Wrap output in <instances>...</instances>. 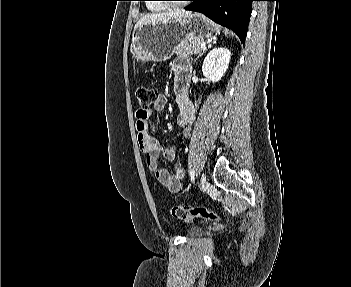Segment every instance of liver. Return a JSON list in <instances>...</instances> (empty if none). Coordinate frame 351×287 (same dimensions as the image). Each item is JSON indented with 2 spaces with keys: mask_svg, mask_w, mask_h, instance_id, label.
Segmentation results:
<instances>
[{
  "mask_svg": "<svg viewBox=\"0 0 351 287\" xmlns=\"http://www.w3.org/2000/svg\"><path fill=\"white\" fill-rule=\"evenodd\" d=\"M189 15H191V11H185L183 9H177L169 12L148 14L139 19V21L135 25V29L141 25L148 24V23L155 24V23H168L170 21H178Z\"/></svg>",
  "mask_w": 351,
  "mask_h": 287,
  "instance_id": "obj_1",
  "label": "liver"
}]
</instances>
